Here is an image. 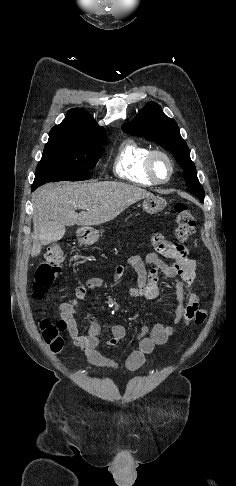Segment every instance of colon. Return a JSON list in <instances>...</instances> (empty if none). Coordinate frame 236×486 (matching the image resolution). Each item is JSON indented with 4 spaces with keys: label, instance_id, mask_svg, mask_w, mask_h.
Segmentation results:
<instances>
[{
    "label": "colon",
    "instance_id": "colon-1",
    "mask_svg": "<svg viewBox=\"0 0 236 486\" xmlns=\"http://www.w3.org/2000/svg\"><path fill=\"white\" fill-rule=\"evenodd\" d=\"M176 212V235L180 242L187 241L195 230V219L191 214L188 206L183 202H178L175 205ZM65 259V253L59 244H51L48 246L43 260L37 267L35 273V280L33 284V297L41 299L45 293L53 285L56 276L62 269V264ZM77 298L84 299L86 297V289L79 287L77 289ZM43 338L49 345L51 350L59 352L64 346L63 330L65 324L63 321L51 322L50 320H42L40 323Z\"/></svg>",
    "mask_w": 236,
    "mask_h": 486
}]
</instances>
